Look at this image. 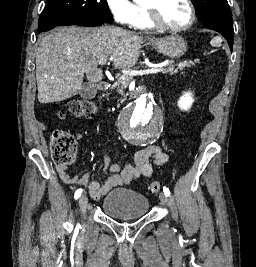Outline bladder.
Segmentation results:
<instances>
[{
    "label": "bladder",
    "mask_w": 256,
    "mask_h": 267,
    "mask_svg": "<svg viewBox=\"0 0 256 267\" xmlns=\"http://www.w3.org/2000/svg\"><path fill=\"white\" fill-rule=\"evenodd\" d=\"M149 199L138 191L115 188L102 199V211L118 219L138 218L147 214Z\"/></svg>",
    "instance_id": "obj_1"
}]
</instances>
